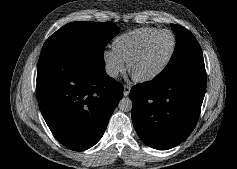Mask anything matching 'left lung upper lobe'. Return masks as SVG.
<instances>
[{"instance_id":"obj_1","label":"left lung upper lobe","mask_w":237,"mask_h":169,"mask_svg":"<svg viewBox=\"0 0 237 169\" xmlns=\"http://www.w3.org/2000/svg\"><path fill=\"white\" fill-rule=\"evenodd\" d=\"M171 27L175 33L177 44L162 73L174 72L195 63H204L202 50L194 35L182 26L171 24Z\"/></svg>"}]
</instances>
